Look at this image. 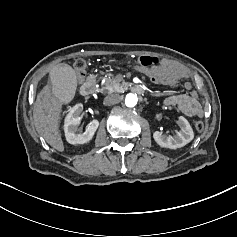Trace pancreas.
I'll list each match as a JSON object with an SVG mask.
<instances>
[{
    "instance_id": "obj_1",
    "label": "pancreas",
    "mask_w": 237,
    "mask_h": 237,
    "mask_svg": "<svg viewBox=\"0 0 237 237\" xmlns=\"http://www.w3.org/2000/svg\"><path fill=\"white\" fill-rule=\"evenodd\" d=\"M115 85H116V83L114 82L113 78L108 79L105 87L101 88L100 91L101 92H105V91H107V92H111L112 91L113 92Z\"/></svg>"
}]
</instances>
